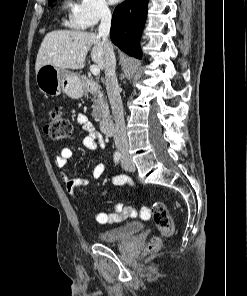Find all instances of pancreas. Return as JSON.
Here are the masks:
<instances>
[{
  "instance_id": "obj_1",
  "label": "pancreas",
  "mask_w": 247,
  "mask_h": 296,
  "mask_svg": "<svg viewBox=\"0 0 247 296\" xmlns=\"http://www.w3.org/2000/svg\"><path fill=\"white\" fill-rule=\"evenodd\" d=\"M92 102V117L96 122L109 117V107L107 99L102 92L97 91L95 94H93Z\"/></svg>"
}]
</instances>
